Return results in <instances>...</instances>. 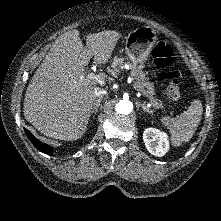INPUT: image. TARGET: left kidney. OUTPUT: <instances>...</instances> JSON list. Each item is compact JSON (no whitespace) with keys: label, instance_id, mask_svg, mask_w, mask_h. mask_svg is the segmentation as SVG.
Instances as JSON below:
<instances>
[{"label":"left kidney","instance_id":"5707ae66","mask_svg":"<svg viewBox=\"0 0 221 221\" xmlns=\"http://www.w3.org/2000/svg\"><path fill=\"white\" fill-rule=\"evenodd\" d=\"M143 140L149 153L162 157L169 150V141L166 133L155 128H147L143 132Z\"/></svg>","mask_w":221,"mask_h":221}]
</instances>
